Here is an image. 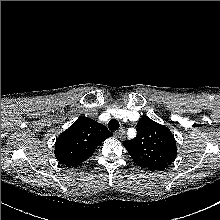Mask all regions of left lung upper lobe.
Segmentation results:
<instances>
[{
    "instance_id": "obj_1",
    "label": "left lung upper lobe",
    "mask_w": 220,
    "mask_h": 220,
    "mask_svg": "<svg viewBox=\"0 0 220 220\" xmlns=\"http://www.w3.org/2000/svg\"><path fill=\"white\" fill-rule=\"evenodd\" d=\"M131 158L141 167L162 170L175 160L176 141L171 131L151 120L148 116L140 118L137 136L123 142Z\"/></svg>"
}]
</instances>
